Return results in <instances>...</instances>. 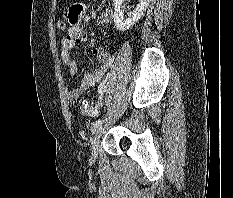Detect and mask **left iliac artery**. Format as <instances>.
<instances>
[{"label":"left iliac artery","instance_id":"44dca946","mask_svg":"<svg viewBox=\"0 0 233 198\" xmlns=\"http://www.w3.org/2000/svg\"><path fill=\"white\" fill-rule=\"evenodd\" d=\"M105 88H106V86H105L104 84H102L101 87H100V92H102L103 90H105ZM103 122H104V120H102V119L96 120V121L92 124L93 129H96V128L100 127V126L102 125Z\"/></svg>","mask_w":233,"mask_h":198}]
</instances>
